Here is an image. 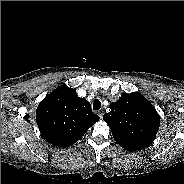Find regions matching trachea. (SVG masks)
Returning <instances> with one entry per match:
<instances>
[{"mask_svg":"<svg viewBox=\"0 0 184 184\" xmlns=\"http://www.w3.org/2000/svg\"><path fill=\"white\" fill-rule=\"evenodd\" d=\"M101 108V102L99 99H95L93 103V110H99Z\"/></svg>","mask_w":184,"mask_h":184,"instance_id":"3493384b","label":"trachea"}]
</instances>
